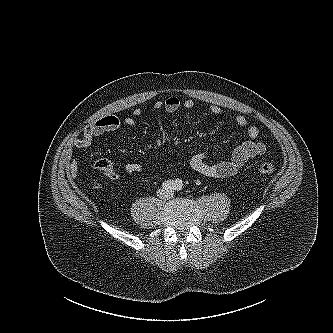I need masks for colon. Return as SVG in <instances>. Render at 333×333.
<instances>
[{
	"mask_svg": "<svg viewBox=\"0 0 333 333\" xmlns=\"http://www.w3.org/2000/svg\"><path fill=\"white\" fill-rule=\"evenodd\" d=\"M257 169L262 174H270L275 171L276 165L273 161L264 160L258 164Z\"/></svg>",
	"mask_w": 333,
	"mask_h": 333,
	"instance_id": "1",
	"label": "colon"
}]
</instances>
